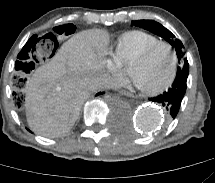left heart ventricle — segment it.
I'll list each match as a JSON object with an SVG mask.
<instances>
[{
  "label": "left heart ventricle",
  "instance_id": "b2bd125f",
  "mask_svg": "<svg viewBox=\"0 0 215 183\" xmlns=\"http://www.w3.org/2000/svg\"><path fill=\"white\" fill-rule=\"evenodd\" d=\"M173 59L166 47H159L143 62L130 65V73L143 89H155L170 78Z\"/></svg>",
  "mask_w": 215,
  "mask_h": 183
}]
</instances>
